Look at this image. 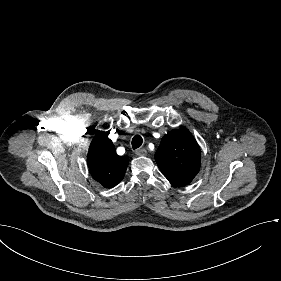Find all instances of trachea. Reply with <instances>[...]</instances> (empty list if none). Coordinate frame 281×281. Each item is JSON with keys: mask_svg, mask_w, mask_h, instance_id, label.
<instances>
[{"mask_svg": "<svg viewBox=\"0 0 281 281\" xmlns=\"http://www.w3.org/2000/svg\"><path fill=\"white\" fill-rule=\"evenodd\" d=\"M143 143V139L140 135H135L131 141L132 148L135 150L139 148Z\"/></svg>", "mask_w": 281, "mask_h": 281, "instance_id": "1", "label": "trachea"}]
</instances>
